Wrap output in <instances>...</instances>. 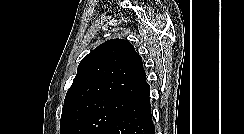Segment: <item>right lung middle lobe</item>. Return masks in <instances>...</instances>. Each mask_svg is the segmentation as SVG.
I'll return each mask as SVG.
<instances>
[{
    "instance_id": "right-lung-middle-lobe-1",
    "label": "right lung middle lobe",
    "mask_w": 244,
    "mask_h": 134,
    "mask_svg": "<svg viewBox=\"0 0 244 134\" xmlns=\"http://www.w3.org/2000/svg\"><path fill=\"white\" fill-rule=\"evenodd\" d=\"M132 102L104 97L76 105L61 119L60 134H102Z\"/></svg>"
}]
</instances>
